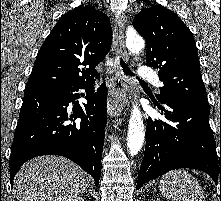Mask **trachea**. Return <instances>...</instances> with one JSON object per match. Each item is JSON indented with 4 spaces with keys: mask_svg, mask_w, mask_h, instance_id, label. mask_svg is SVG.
<instances>
[{
    "mask_svg": "<svg viewBox=\"0 0 221 201\" xmlns=\"http://www.w3.org/2000/svg\"><path fill=\"white\" fill-rule=\"evenodd\" d=\"M120 66L122 67L123 72H124L125 75L133 76V73L130 71V69L127 67V65L125 64V62L122 59H120ZM139 82H140V84H146L142 80H139Z\"/></svg>",
    "mask_w": 221,
    "mask_h": 201,
    "instance_id": "3493384b",
    "label": "trachea"
}]
</instances>
